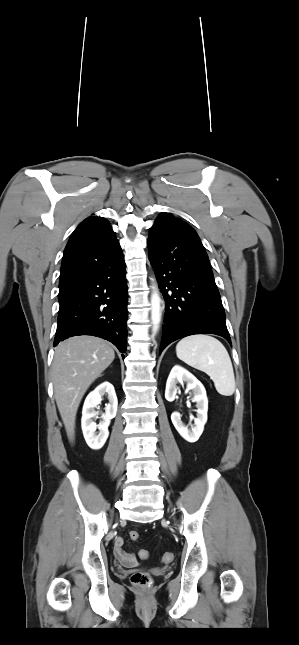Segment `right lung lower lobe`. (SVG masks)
Masks as SVG:
<instances>
[{
    "mask_svg": "<svg viewBox=\"0 0 299 645\" xmlns=\"http://www.w3.org/2000/svg\"><path fill=\"white\" fill-rule=\"evenodd\" d=\"M127 294L123 256L61 289L54 345L72 336L92 335L112 342L125 353Z\"/></svg>",
    "mask_w": 299,
    "mask_h": 645,
    "instance_id": "98d812e1",
    "label": "right lung lower lobe"
}]
</instances>
